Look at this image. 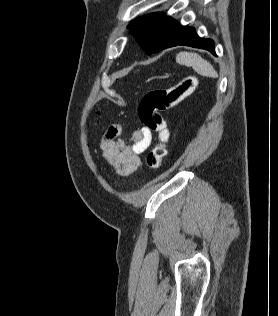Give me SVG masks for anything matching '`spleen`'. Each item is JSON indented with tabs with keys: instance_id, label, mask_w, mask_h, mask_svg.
<instances>
[{
	"instance_id": "1",
	"label": "spleen",
	"mask_w": 278,
	"mask_h": 316,
	"mask_svg": "<svg viewBox=\"0 0 278 316\" xmlns=\"http://www.w3.org/2000/svg\"><path fill=\"white\" fill-rule=\"evenodd\" d=\"M177 63L191 66L198 74L207 77H218L213 66L200 55L190 52H180L176 56Z\"/></svg>"
}]
</instances>
